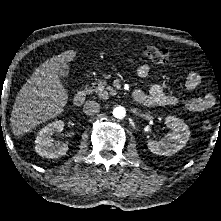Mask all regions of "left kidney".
<instances>
[{"instance_id": "obj_1", "label": "left kidney", "mask_w": 221, "mask_h": 221, "mask_svg": "<svg viewBox=\"0 0 221 221\" xmlns=\"http://www.w3.org/2000/svg\"><path fill=\"white\" fill-rule=\"evenodd\" d=\"M165 123L172 128L160 141L148 140L147 147L153 154L171 156L186 146L190 131L186 123L174 116H167Z\"/></svg>"}]
</instances>
